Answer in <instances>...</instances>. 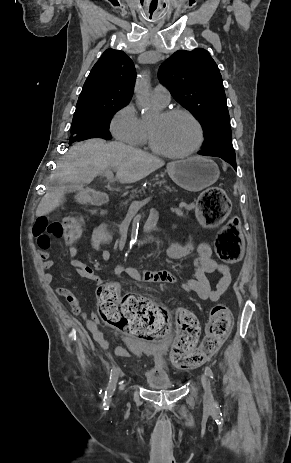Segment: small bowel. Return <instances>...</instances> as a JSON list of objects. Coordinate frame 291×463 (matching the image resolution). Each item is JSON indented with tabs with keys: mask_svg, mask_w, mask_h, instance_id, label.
I'll return each mask as SVG.
<instances>
[{
	"mask_svg": "<svg viewBox=\"0 0 291 463\" xmlns=\"http://www.w3.org/2000/svg\"><path fill=\"white\" fill-rule=\"evenodd\" d=\"M154 217V216H151ZM150 232L154 234L155 238H165V233H157L158 229L152 227ZM37 244L39 247V257L42 260V269L46 272L44 274V281L51 283L55 275L49 272L54 266L55 261L50 256V238L48 235L36 237ZM112 240V234L108 226L104 223L99 224L92 232L91 235V246L99 252L104 260H109L111 255L110 252L104 248L105 245L109 244ZM74 240H67V244L70 246L69 253L71 257V265L76 273L87 280H91L95 283H99V277L96 275L94 269L78 259V249L75 246ZM164 244L168 243L167 239L163 240ZM194 236L189 234L186 241L182 244H173L166 247V252L169 257L173 259H182L188 256L194 249ZM192 276L186 280L182 287L189 293L196 295L202 300L217 301L220 296L229 287L232 276L230 269L227 265L218 263L212 257V249L207 243H200L197 246V257L193 263ZM117 274H125L129 278L135 281H146L154 283H176L178 276L175 271L162 270V271H144L141 272L135 268H127L123 263H119L116 267ZM212 272H218L220 278L215 286L212 288L207 278V274ZM55 292L58 296L64 298L70 305L73 313L81 317L87 325V328L92 333L94 339L101 345L102 348L108 349V342L104 339L102 332L98 329V320L95 317H89L85 311L80 298L67 287H57ZM114 354L117 356H123L125 351L121 348L114 349Z\"/></svg>",
	"mask_w": 291,
	"mask_h": 463,
	"instance_id": "c3829d8e",
	"label": "small bowel"
}]
</instances>
